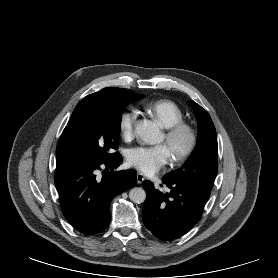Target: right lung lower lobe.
<instances>
[{
	"label": "right lung lower lobe",
	"instance_id": "1",
	"mask_svg": "<svg viewBox=\"0 0 278 278\" xmlns=\"http://www.w3.org/2000/svg\"><path fill=\"white\" fill-rule=\"evenodd\" d=\"M121 155L109 160L56 168L55 185L67 221L81 233L91 235L109 224L110 203L114 196L136 184L134 170L114 171ZM102 170V178L96 174Z\"/></svg>",
	"mask_w": 278,
	"mask_h": 278
}]
</instances>
